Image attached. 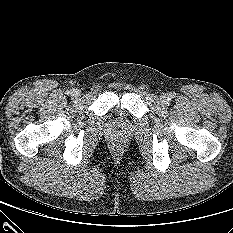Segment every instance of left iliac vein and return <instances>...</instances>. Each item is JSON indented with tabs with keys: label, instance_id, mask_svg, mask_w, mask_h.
<instances>
[{
	"label": "left iliac vein",
	"instance_id": "4c4485c4",
	"mask_svg": "<svg viewBox=\"0 0 233 233\" xmlns=\"http://www.w3.org/2000/svg\"><path fill=\"white\" fill-rule=\"evenodd\" d=\"M169 100H170V98H169L168 94H162L161 95V101H162V103L168 104Z\"/></svg>",
	"mask_w": 233,
	"mask_h": 233
}]
</instances>
